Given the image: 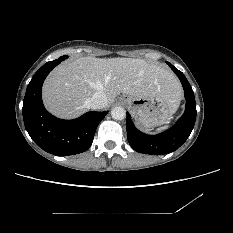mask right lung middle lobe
Instances as JSON below:
<instances>
[{
	"label": "right lung middle lobe",
	"instance_id": "obj_1",
	"mask_svg": "<svg viewBox=\"0 0 233 233\" xmlns=\"http://www.w3.org/2000/svg\"><path fill=\"white\" fill-rule=\"evenodd\" d=\"M68 58V56H62V57H60V58H58L57 60H54V61H63V60H65V59H67Z\"/></svg>",
	"mask_w": 233,
	"mask_h": 233
}]
</instances>
